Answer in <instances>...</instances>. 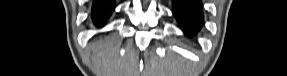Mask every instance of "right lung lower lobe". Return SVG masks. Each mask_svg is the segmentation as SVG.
Instances as JSON below:
<instances>
[{
    "label": "right lung lower lobe",
    "instance_id": "1",
    "mask_svg": "<svg viewBox=\"0 0 287 76\" xmlns=\"http://www.w3.org/2000/svg\"><path fill=\"white\" fill-rule=\"evenodd\" d=\"M114 10V0H95L92 8L93 21L102 26Z\"/></svg>",
    "mask_w": 287,
    "mask_h": 76
}]
</instances>
